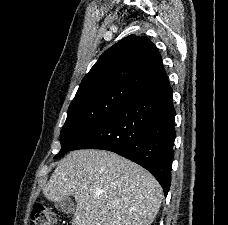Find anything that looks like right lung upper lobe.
Listing matches in <instances>:
<instances>
[{"mask_svg": "<svg viewBox=\"0 0 228 225\" xmlns=\"http://www.w3.org/2000/svg\"><path fill=\"white\" fill-rule=\"evenodd\" d=\"M162 71V58L155 45L147 37L130 35L101 55L83 78L75 98L88 88L110 82H124L140 89Z\"/></svg>", "mask_w": 228, "mask_h": 225, "instance_id": "obj_1", "label": "right lung upper lobe"}]
</instances>
